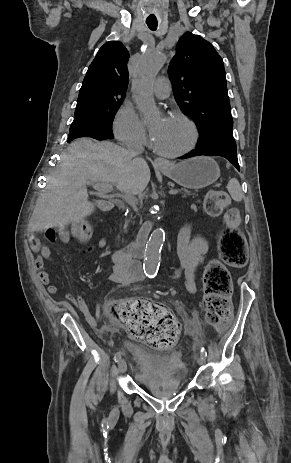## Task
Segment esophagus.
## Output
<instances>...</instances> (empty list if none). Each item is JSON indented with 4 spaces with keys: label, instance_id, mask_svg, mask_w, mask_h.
Masks as SVG:
<instances>
[{
    "label": "esophagus",
    "instance_id": "34e87169",
    "mask_svg": "<svg viewBox=\"0 0 291 463\" xmlns=\"http://www.w3.org/2000/svg\"><path fill=\"white\" fill-rule=\"evenodd\" d=\"M154 163H155L156 165H158V166H165V165H167V162H166L164 159H162V158H156V159L154 160Z\"/></svg>",
    "mask_w": 291,
    "mask_h": 463
}]
</instances>
